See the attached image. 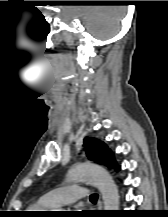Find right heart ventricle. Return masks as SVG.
<instances>
[{"mask_svg":"<svg viewBox=\"0 0 168 217\" xmlns=\"http://www.w3.org/2000/svg\"><path fill=\"white\" fill-rule=\"evenodd\" d=\"M47 208L48 207L41 200H38L28 207V212H30V214H34L36 212L44 211Z\"/></svg>","mask_w":168,"mask_h":217,"instance_id":"1","label":"right heart ventricle"}]
</instances>
